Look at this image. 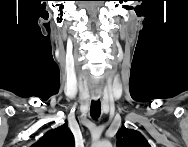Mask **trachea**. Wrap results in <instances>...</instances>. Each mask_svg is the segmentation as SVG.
I'll return each mask as SVG.
<instances>
[{
    "mask_svg": "<svg viewBox=\"0 0 188 147\" xmlns=\"http://www.w3.org/2000/svg\"><path fill=\"white\" fill-rule=\"evenodd\" d=\"M100 113H101L100 100L92 101L90 107V115L92 116V118L97 119L100 116Z\"/></svg>",
    "mask_w": 188,
    "mask_h": 147,
    "instance_id": "3493384b",
    "label": "trachea"
}]
</instances>
